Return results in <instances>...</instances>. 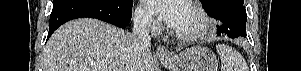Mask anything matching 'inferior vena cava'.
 I'll return each mask as SVG.
<instances>
[{"label":"inferior vena cava","mask_w":301,"mask_h":71,"mask_svg":"<svg viewBox=\"0 0 301 71\" xmlns=\"http://www.w3.org/2000/svg\"><path fill=\"white\" fill-rule=\"evenodd\" d=\"M152 16L148 13H138L134 16L133 34L138 38L144 48L151 46L149 27Z\"/></svg>","instance_id":"602c4592"}]
</instances>
